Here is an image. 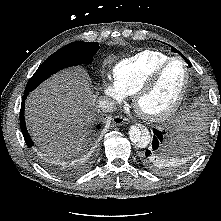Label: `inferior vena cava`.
Instances as JSON below:
<instances>
[{
	"label": "inferior vena cava",
	"mask_w": 221,
	"mask_h": 221,
	"mask_svg": "<svg viewBox=\"0 0 221 221\" xmlns=\"http://www.w3.org/2000/svg\"><path fill=\"white\" fill-rule=\"evenodd\" d=\"M97 107L103 112H113L116 110L115 103L107 98H102L97 102Z\"/></svg>",
	"instance_id": "1"
}]
</instances>
